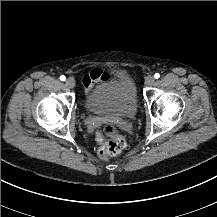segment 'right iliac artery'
<instances>
[{"mask_svg": "<svg viewBox=\"0 0 217 217\" xmlns=\"http://www.w3.org/2000/svg\"><path fill=\"white\" fill-rule=\"evenodd\" d=\"M65 79H66V77H65L64 75H61V76H60V80H61V81H65Z\"/></svg>", "mask_w": 217, "mask_h": 217, "instance_id": "right-iliac-artery-1", "label": "right iliac artery"}]
</instances>
